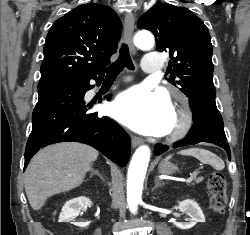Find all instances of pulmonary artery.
I'll list each match as a JSON object with an SVG mask.
<instances>
[{"mask_svg": "<svg viewBox=\"0 0 250 235\" xmlns=\"http://www.w3.org/2000/svg\"><path fill=\"white\" fill-rule=\"evenodd\" d=\"M163 66V61L160 54L157 52H149L145 55L142 62V69L145 72L153 73L159 71Z\"/></svg>", "mask_w": 250, "mask_h": 235, "instance_id": "1", "label": "pulmonary artery"}]
</instances>
